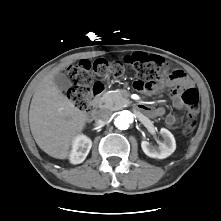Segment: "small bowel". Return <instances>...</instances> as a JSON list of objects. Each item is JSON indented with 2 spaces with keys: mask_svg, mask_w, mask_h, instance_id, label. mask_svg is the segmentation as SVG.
Listing matches in <instances>:
<instances>
[{
  "mask_svg": "<svg viewBox=\"0 0 221 221\" xmlns=\"http://www.w3.org/2000/svg\"><path fill=\"white\" fill-rule=\"evenodd\" d=\"M135 54H133L130 57H127V61L130 60ZM165 77L161 81V83L157 86H155L153 89H151L152 92H156L160 90V88L164 86H168L171 89V95L173 100L174 107L179 111H184L186 109V105L181 99L180 92L178 90V86H190L191 82L185 75L184 71L181 69H175L172 72L164 71ZM146 113L149 116L152 117H159L163 114L162 108H152V107H146ZM166 124L169 127H173L178 123V119L174 115H168L165 119Z\"/></svg>",
  "mask_w": 221,
  "mask_h": 221,
  "instance_id": "small-bowel-1",
  "label": "small bowel"
}]
</instances>
